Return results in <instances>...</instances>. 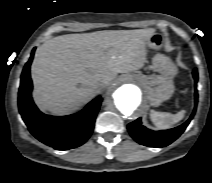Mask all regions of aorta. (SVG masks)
Wrapping results in <instances>:
<instances>
[{
	"label": "aorta",
	"mask_w": 212,
	"mask_h": 183,
	"mask_svg": "<svg viewBox=\"0 0 212 183\" xmlns=\"http://www.w3.org/2000/svg\"><path fill=\"white\" fill-rule=\"evenodd\" d=\"M109 99L115 108L126 116H130L140 105L141 91L133 84H124L116 88Z\"/></svg>",
	"instance_id": "obj_1"
}]
</instances>
